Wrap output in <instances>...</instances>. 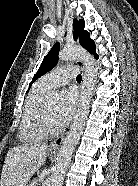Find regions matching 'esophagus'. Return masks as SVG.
<instances>
[{"mask_svg":"<svg viewBox=\"0 0 138 186\" xmlns=\"http://www.w3.org/2000/svg\"><path fill=\"white\" fill-rule=\"evenodd\" d=\"M77 64H78L82 69H84V64H83L82 61H77ZM63 139H64L63 136L56 138V139L50 144V148H51V149H58V148L61 146V144H62V142H63Z\"/></svg>","mask_w":138,"mask_h":186,"instance_id":"esophagus-1","label":"esophagus"}]
</instances>
